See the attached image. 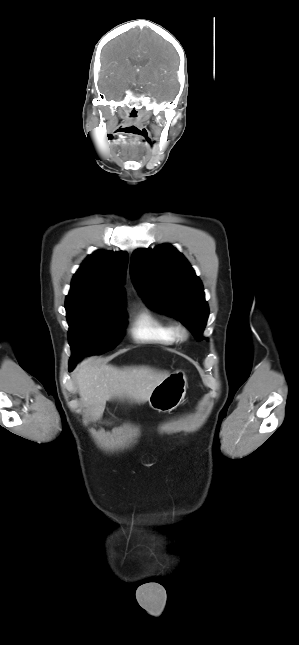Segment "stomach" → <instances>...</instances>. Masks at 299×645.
<instances>
[{
  "mask_svg": "<svg viewBox=\"0 0 299 645\" xmlns=\"http://www.w3.org/2000/svg\"><path fill=\"white\" fill-rule=\"evenodd\" d=\"M186 389V374L183 371H176L153 389L148 398L149 405L159 412H170L180 405Z\"/></svg>",
  "mask_w": 299,
  "mask_h": 645,
  "instance_id": "1",
  "label": "stomach"
}]
</instances>
